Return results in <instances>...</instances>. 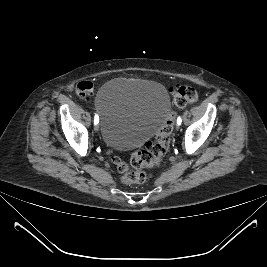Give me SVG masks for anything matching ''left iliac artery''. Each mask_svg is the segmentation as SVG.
<instances>
[{
	"instance_id": "44dca946",
	"label": "left iliac artery",
	"mask_w": 267,
	"mask_h": 267,
	"mask_svg": "<svg viewBox=\"0 0 267 267\" xmlns=\"http://www.w3.org/2000/svg\"><path fill=\"white\" fill-rule=\"evenodd\" d=\"M181 122H182V120H181V117H178V118H177V124H179V125H180V124H181Z\"/></svg>"
}]
</instances>
